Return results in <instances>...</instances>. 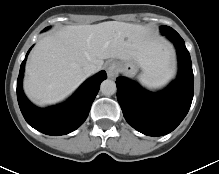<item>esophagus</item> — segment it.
Listing matches in <instances>:
<instances>
[{"label":"esophagus","instance_id":"34e87169","mask_svg":"<svg viewBox=\"0 0 219 174\" xmlns=\"http://www.w3.org/2000/svg\"><path fill=\"white\" fill-rule=\"evenodd\" d=\"M119 66L115 62H110L107 66V73L110 78H114Z\"/></svg>","mask_w":219,"mask_h":174}]
</instances>
